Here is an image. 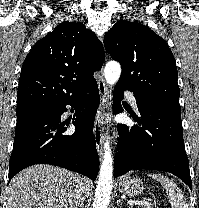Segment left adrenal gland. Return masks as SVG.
Wrapping results in <instances>:
<instances>
[{
  "mask_svg": "<svg viewBox=\"0 0 199 208\" xmlns=\"http://www.w3.org/2000/svg\"><path fill=\"white\" fill-rule=\"evenodd\" d=\"M120 205H122V203H121V200L118 199V200H117V206L120 207Z\"/></svg>",
  "mask_w": 199,
  "mask_h": 208,
  "instance_id": "1",
  "label": "left adrenal gland"
}]
</instances>
